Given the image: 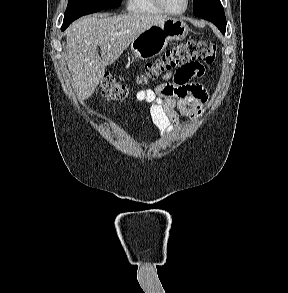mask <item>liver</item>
<instances>
[{
	"label": "liver",
	"instance_id": "1",
	"mask_svg": "<svg viewBox=\"0 0 288 293\" xmlns=\"http://www.w3.org/2000/svg\"><path fill=\"white\" fill-rule=\"evenodd\" d=\"M165 18L158 14L129 13L88 16L75 21L67 29L66 59L79 100H86L94 93L105 68L114 63L139 34Z\"/></svg>",
	"mask_w": 288,
	"mask_h": 293
}]
</instances>
